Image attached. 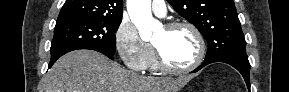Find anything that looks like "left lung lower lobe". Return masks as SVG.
Wrapping results in <instances>:
<instances>
[{"label":"left lung lower lobe","instance_id":"1","mask_svg":"<svg viewBox=\"0 0 289 92\" xmlns=\"http://www.w3.org/2000/svg\"><path fill=\"white\" fill-rule=\"evenodd\" d=\"M215 62H223L233 66L237 69L241 75L243 76L248 89L250 90V80H249V71H250V63L248 61L247 56H239V55H220L210 59H205L204 62L192 73L199 71L204 66L215 63Z\"/></svg>","mask_w":289,"mask_h":92}]
</instances>
